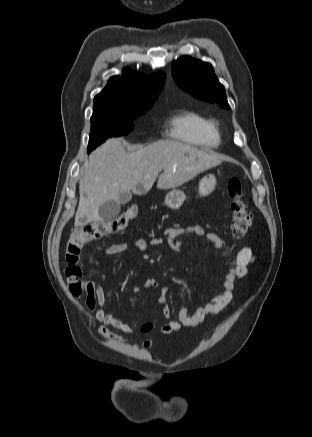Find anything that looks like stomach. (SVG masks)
I'll return each mask as SVG.
<instances>
[{
  "instance_id": "obj_1",
  "label": "stomach",
  "mask_w": 312,
  "mask_h": 437,
  "mask_svg": "<svg viewBox=\"0 0 312 437\" xmlns=\"http://www.w3.org/2000/svg\"><path fill=\"white\" fill-rule=\"evenodd\" d=\"M216 186V178L213 174L204 176L198 187V193L200 197H206L211 194ZM186 199V195L183 191L173 189L169 191L164 199V204L171 209H179Z\"/></svg>"
}]
</instances>
